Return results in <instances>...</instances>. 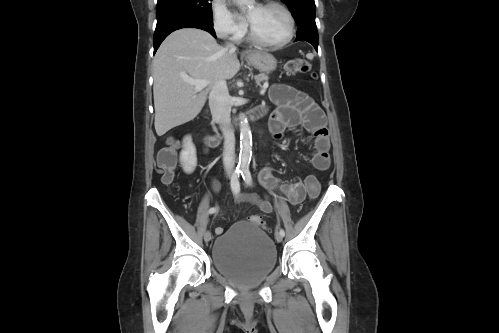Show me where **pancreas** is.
<instances>
[{
    "instance_id": "pancreas-1",
    "label": "pancreas",
    "mask_w": 499,
    "mask_h": 333,
    "mask_svg": "<svg viewBox=\"0 0 499 333\" xmlns=\"http://www.w3.org/2000/svg\"><path fill=\"white\" fill-rule=\"evenodd\" d=\"M254 79L256 81V84L258 86H261V82H267L268 79H269V77H268L267 74L262 73V74H259V75H255Z\"/></svg>"
}]
</instances>
